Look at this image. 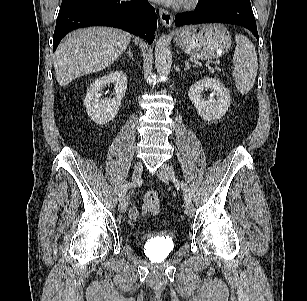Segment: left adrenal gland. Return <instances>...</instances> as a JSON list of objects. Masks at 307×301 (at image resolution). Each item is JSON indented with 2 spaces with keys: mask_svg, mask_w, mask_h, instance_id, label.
Listing matches in <instances>:
<instances>
[{
  "mask_svg": "<svg viewBox=\"0 0 307 301\" xmlns=\"http://www.w3.org/2000/svg\"><path fill=\"white\" fill-rule=\"evenodd\" d=\"M190 67H195V65H190L189 62L187 60H185V71H187L188 69H190Z\"/></svg>",
  "mask_w": 307,
  "mask_h": 301,
  "instance_id": "a2214340",
  "label": "left adrenal gland"
}]
</instances>
